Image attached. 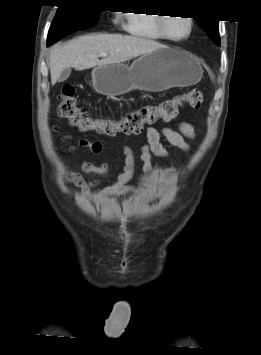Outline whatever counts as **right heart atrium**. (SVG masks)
I'll return each instance as SVG.
<instances>
[{
  "instance_id": "1",
  "label": "right heart atrium",
  "mask_w": 261,
  "mask_h": 355,
  "mask_svg": "<svg viewBox=\"0 0 261 355\" xmlns=\"http://www.w3.org/2000/svg\"><path fill=\"white\" fill-rule=\"evenodd\" d=\"M116 22H117V23H121V22H122V19H121V18H118V19H116Z\"/></svg>"
}]
</instances>
